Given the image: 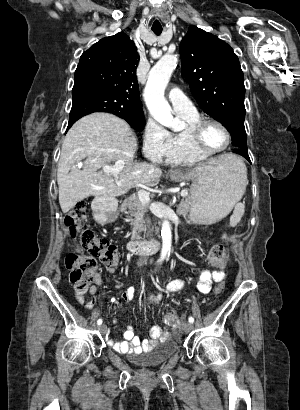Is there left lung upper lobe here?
I'll return each mask as SVG.
<instances>
[{
  "mask_svg": "<svg viewBox=\"0 0 300 410\" xmlns=\"http://www.w3.org/2000/svg\"><path fill=\"white\" fill-rule=\"evenodd\" d=\"M181 72L200 108L247 151L244 76L237 55L223 40L192 25L180 43Z\"/></svg>",
  "mask_w": 300,
  "mask_h": 410,
  "instance_id": "left-lung-upper-lobe-1",
  "label": "left lung upper lobe"
}]
</instances>
